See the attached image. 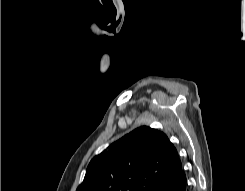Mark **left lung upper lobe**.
Returning <instances> with one entry per match:
<instances>
[{
    "mask_svg": "<svg viewBox=\"0 0 245 191\" xmlns=\"http://www.w3.org/2000/svg\"><path fill=\"white\" fill-rule=\"evenodd\" d=\"M178 160L164 132L141 126L95 156L76 191H155Z\"/></svg>",
    "mask_w": 245,
    "mask_h": 191,
    "instance_id": "1",
    "label": "left lung upper lobe"
}]
</instances>
